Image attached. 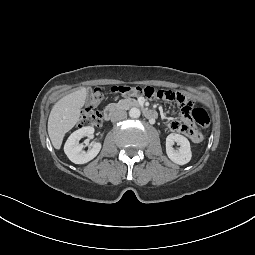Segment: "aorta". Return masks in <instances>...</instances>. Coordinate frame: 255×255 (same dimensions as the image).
I'll list each match as a JSON object with an SVG mask.
<instances>
[{
  "label": "aorta",
  "mask_w": 255,
  "mask_h": 255,
  "mask_svg": "<svg viewBox=\"0 0 255 255\" xmlns=\"http://www.w3.org/2000/svg\"><path fill=\"white\" fill-rule=\"evenodd\" d=\"M140 110L138 109V108H135V107H133V108H131L130 110H129V116L131 117V118H139L140 117Z\"/></svg>",
  "instance_id": "762f6f07"
}]
</instances>
